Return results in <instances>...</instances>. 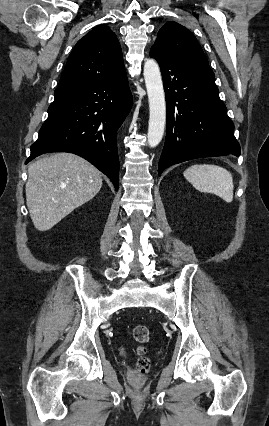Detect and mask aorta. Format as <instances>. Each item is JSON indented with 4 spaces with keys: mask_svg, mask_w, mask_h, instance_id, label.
Here are the masks:
<instances>
[{
    "mask_svg": "<svg viewBox=\"0 0 269 426\" xmlns=\"http://www.w3.org/2000/svg\"><path fill=\"white\" fill-rule=\"evenodd\" d=\"M144 79L149 101V126L147 141L156 147L162 140L166 123V101L161 72L154 59L144 64Z\"/></svg>",
    "mask_w": 269,
    "mask_h": 426,
    "instance_id": "1",
    "label": "aorta"
}]
</instances>
